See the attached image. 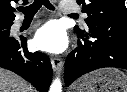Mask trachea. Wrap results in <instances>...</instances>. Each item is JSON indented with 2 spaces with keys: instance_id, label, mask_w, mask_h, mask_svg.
Instances as JSON below:
<instances>
[{
  "instance_id": "3493384b",
  "label": "trachea",
  "mask_w": 127,
  "mask_h": 92,
  "mask_svg": "<svg viewBox=\"0 0 127 92\" xmlns=\"http://www.w3.org/2000/svg\"><path fill=\"white\" fill-rule=\"evenodd\" d=\"M44 5L46 8L50 10H54L53 5L49 2V0H34V2L27 7H20L19 11H21L25 17L34 16L36 12ZM70 16H78L77 14H70Z\"/></svg>"
}]
</instances>
